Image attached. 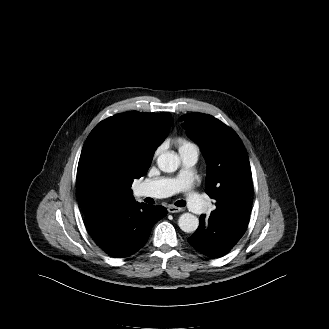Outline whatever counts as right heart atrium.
I'll return each instance as SVG.
<instances>
[{
  "label": "right heart atrium",
  "mask_w": 329,
  "mask_h": 329,
  "mask_svg": "<svg viewBox=\"0 0 329 329\" xmlns=\"http://www.w3.org/2000/svg\"><path fill=\"white\" fill-rule=\"evenodd\" d=\"M161 151V147L157 148L155 155H157Z\"/></svg>",
  "instance_id": "obj_1"
}]
</instances>
